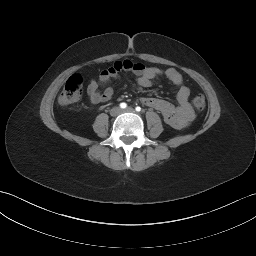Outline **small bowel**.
Listing matches in <instances>:
<instances>
[{"label":"small bowel","instance_id":"1","mask_svg":"<svg viewBox=\"0 0 256 256\" xmlns=\"http://www.w3.org/2000/svg\"><path fill=\"white\" fill-rule=\"evenodd\" d=\"M122 71L134 73L137 76V85L142 88L151 86L155 78L164 75L178 87L176 95L178 105L155 97H142L141 102L145 106L158 111L166 124L175 129H182L193 120L194 113L188 102L190 90L184 85L182 75L175 68L162 70L158 67L146 66L141 62L117 61L112 66L103 69L99 74L98 80L89 82L87 86L89 100L93 104L109 101L114 94L113 88L106 87L103 91H100V87L107 84L111 79H116Z\"/></svg>","mask_w":256,"mask_h":256}]
</instances>
